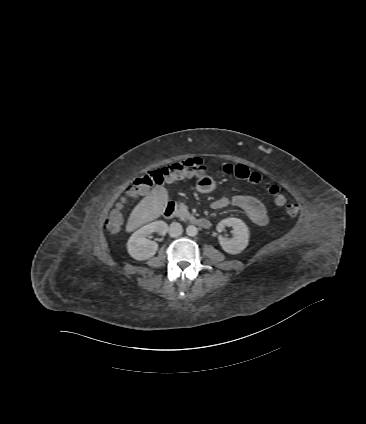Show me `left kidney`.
<instances>
[{
  "label": "left kidney",
  "instance_id": "1",
  "mask_svg": "<svg viewBox=\"0 0 366 424\" xmlns=\"http://www.w3.org/2000/svg\"><path fill=\"white\" fill-rule=\"evenodd\" d=\"M225 227L233 228V237L231 239L219 237L222 249L229 254H238L242 252L248 245L249 228L238 218H226L221 220L217 225V231L221 232Z\"/></svg>",
  "mask_w": 366,
  "mask_h": 424
}]
</instances>
